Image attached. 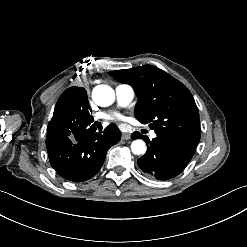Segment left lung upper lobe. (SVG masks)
Segmentation results:
<instances>
[{"mask_svg":"<svg viewBox=\"0 0 247 247\" xmlns=\"http://www.w3.org/2000/svg\"><path fill=\"white\" fill-rule=\"evenodd\" d=\"M130 84L138 97L135 117L155 133H173L199 143L200 119L194 98L185 85L165 71L143 65L109 72Z\"/></svg>","mask_w":247,"mask_h":247,"instance_id":"1","label":"left lung upper lobe"}]
</instances>
